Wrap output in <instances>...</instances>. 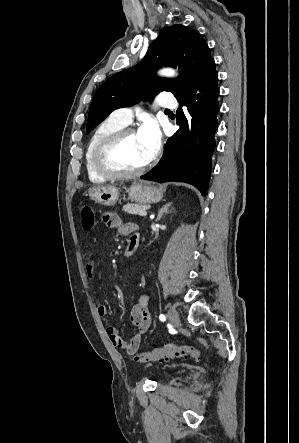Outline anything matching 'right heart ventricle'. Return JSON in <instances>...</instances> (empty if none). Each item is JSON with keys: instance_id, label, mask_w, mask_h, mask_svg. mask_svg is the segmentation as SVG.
I'll use <instances>...</instances> for the list:
<instances>
[{"instance_id": "obj_1", "label": "right heart ventricle", "mask_w": 299, "mask_h": 443, "mask_svg": "<svg viewBox=\"0 0 299 443\" xmlns=\"http://www.w3.org/2000/svg\"><path fill=\"white\" fill-rule=\"evenodd\" d=\"M125 125L119 123L111 116L102 121L92 132L85 149V168L88 178L93 183H101L106 180L94 167V153L97 146L109 135L124 128Z\"/></svg>"}]
</instances>
